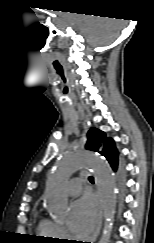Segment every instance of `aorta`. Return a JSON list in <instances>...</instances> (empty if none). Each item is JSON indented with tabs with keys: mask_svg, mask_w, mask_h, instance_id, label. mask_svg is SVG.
Returning a JSON list of instances; mask_svg holds the SVG:
<instances>
[{
	"mask_svg": "<svg viewBox=\"0 0 154 243\" xmlns=\"http://www.w3.org/2000/svg\"><path fill=\"white\" fill-rule=\"evenodd\" d=\"M85 167L93 170L105 219L102 236L98 243H109L115 215V178L107 162L91 152H69L58 160L47 180V210L55 220L62 221L65 219L68 212V201L65 193L66 183L76 171Z\"/></svg>",
	"mask_w": 154,
	"mask_h": 243,
	"instance_id": "762f6f07",
	"label": "aorta"
}]
</instances>
